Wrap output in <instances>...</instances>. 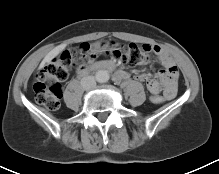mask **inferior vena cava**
<instances>
[{
    "mask_svg": "<svg viewBox=\"0 0 219 174\" xmlns=\"http://www.w3.org/2000/svg\"><path fill=\"white\" fill-rule=\"evenodd\" d=\"M81 86L85 90H92L96 87V80L94 76H86L81 79Z\"/></svg>",
    "mask_w": 219,
    "mask_h": 174,
    "instance_id": "inferior-vena-cava-1",
    "label": "inferior vena cava"
}]
</instances>
